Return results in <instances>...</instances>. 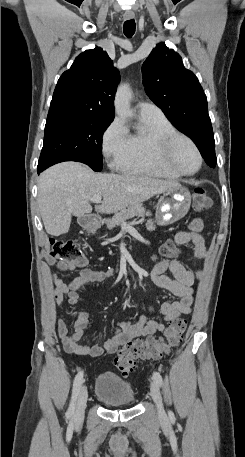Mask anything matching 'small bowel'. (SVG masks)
I'll list each match as a JSON object with an SVG mask.
<instances>
[{
    "mask_svg": "<svg viewBox=\"0 0 245 457\" xmlns=\"http://www.w3.org/2000/svg\"><path fill=\"white\" fill-rule=\"evenodd\" d=\"M155 227V222L151 220L148 223V228L153 230ZM202 230L203 220L199 217L195 218L191 221L188 230L176 233L174 240L178 245L192 244L196 256L203 259L206 255V248L201 233ZM46 262L49 266H56L62 271H72L76 268V264L72 261L56 259L51 256L47 257ZM167 272H170V275ZM114 275L115 273L112 269L95 271L90 268H84L78 276L65 281L52 273L55 303L59 306L67 298L71 308H74L79 299L78 291L84 285L102 282ZM200 276V272L193 273L175 259H164L158 262L150 272V279L158 288L166 290L177 297L175 300L162 303L160 308L161 321L150 319L143 314L135 322H120L119 328L103 343L83 344L80 343V340L88 326L89 315L84 311H79L76 313L73 331L68 330L65 320L58 319L57 332L65 351L75 355L92 357H98L105 353L113 354L120 347L138 337L152 336L157 332L164 331L165 323L176 319L181 314L191 312L194 294L193 284ZM149 310L153 311V308L149 306Z\"/></svg>",
    "mask_w": 245,
    "mask_h": 457,
    "instance_id": "1",
    "label": "small bowel"
}]
</instances>
